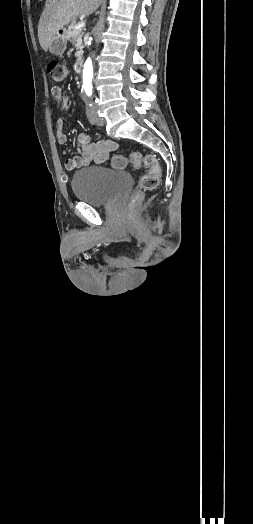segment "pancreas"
<instances>
[{
	"label": "pancreas",
	"instance_id": "pancreas-1",
	"mask_svg": "<svg viewBox=\"0 0 253 524\" xmlns=\"http://www.w3.org/2000/svg\"><path fill=\"white\" fill-rule=\"evenodd\" d=\"M75 26H76L75 21H72V22L70 23V25H69L67 31H66V38H67L68 40H70V41H71L72 39H75V41L77 42V43L75 44V46H76V48L79 50V51L77 52V56H79L80 51H81V49H82V45H81V44H82V40H81L82 32H81V30H76V29H75Z\"/></svg>",
	"mask_w": 253,
	"mask_h": 524
}]
</instances>
